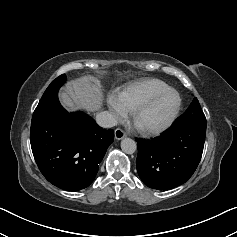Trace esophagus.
Listing matches in <instances>:
<instances>
[{"instance_id":"esophagus-1","label":"esophagus","mask_w":237,"mask_h":237,"mask_svg":"<svg viewBox=\"0 0 237 237\" xmlns=\"http://www.w3.org/2000/svg\"><path fill=\"white\" fill-rule=\"evenodd\" d=\"M114 135L116 140H121L126 136V133L121 128H117L114 131Z\"/></svg>"}]
</instances>
